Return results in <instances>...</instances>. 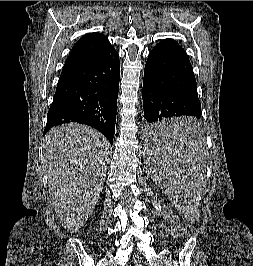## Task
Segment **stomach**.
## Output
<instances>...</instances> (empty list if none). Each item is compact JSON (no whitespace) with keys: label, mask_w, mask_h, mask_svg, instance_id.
Wrapping results in <instances>:
<instances>
[{"label":"stomach","mask_w":253,"mask_h":266,"mask_svg":"<svg viewBox=\"0 0 253 266\" xmlns=\"http://www.w3.org/2000/svg\"><path fill=\"white\" fill-rule=\"evenodd\" d=\"M198 137H199V140L201 139V136L200 135H198Z\"/></svg>","instance_id":"obj_1"}]
</instances>
